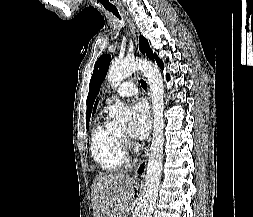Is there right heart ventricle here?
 Returning <instances> with one entry per match:
<instances>
[{
	"label": "right heart ventricle",
	"instance_id": "e07e8e85",
	"mask_svg": "<svg viewBox=\"0 0 253 217\" xmlns=\"http://www.w3.org/2000/svg\"><path fill=\"white\" fill-rule=\"evenodd\" d=\"M91 154L102 170L116 172L128 164L120 135L101 121L91 133Z\"/></svg>",
	"mask_w": 253,
	"mask_h": 217
}]
</instances>
